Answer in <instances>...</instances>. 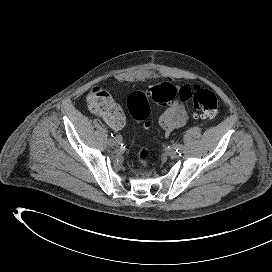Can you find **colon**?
Wrapping results in <instances>:
<instances>
[{"mask_svg": "<svg viewBox=\"0 0 272 272\" xmlns=\"http://www.w3.org/2000/svg\"><path fill=\"white\" fill-rule=\"evenodd\" d=\"M109 94L101 88L93 89L88 97V103L93 111L105 113L110 104ZM178 100L184 104H192L193 108L204 118H214L219 112V102L208 88L199 85L185 84L177 89L170 82H162L150 87L147 91H135L127 99V107L131 116L138 122L148 125L150 114V102L160 105H168ZM152 150L149 147H142L138 151V160L143 167L149 165Z\"/></svg>", "mask_w": 272, "mask_h": 272, "instance_id": "obj_1", "label": "colon"}]
</instances>
